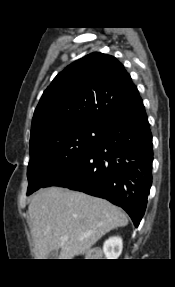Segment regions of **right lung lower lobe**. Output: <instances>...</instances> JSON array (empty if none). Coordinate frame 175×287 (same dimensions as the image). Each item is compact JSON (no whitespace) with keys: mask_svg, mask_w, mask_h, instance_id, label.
<instances>
[{"mask_svg":"<svg viewBox=\"0 0 175 287\" xmlns=\"http://www.w3.org/2000/svg\"><path fill=\"white\" fill-rule=\"evenodd\" d=\"M144 105L109 122L97 145L43 187L61 186L109 200L137 227L152 183V134Z\"/></svg>","mask_w":175,"mask_h":287,"instance_id":"98d812e1","label":"right lung lower lobe"}]
</instances>
